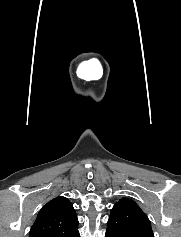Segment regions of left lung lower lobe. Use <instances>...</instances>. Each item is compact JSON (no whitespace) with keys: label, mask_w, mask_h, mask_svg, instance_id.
Wrapping results in <instances>:
<instances>
[{"label":"left lung lower lobe","mask_w":181,"mask_h":237,"mask_svg":"<svg viewBox=\"0 0 181 237\" xmlns=\"http://www.w3.org/2000/svg\"><path fill=\"white\" fill-rule=\"evenodd\" d=\"M105 237H114V236L110 234H106Z\"/></svg>","instance_id":"obj_1"}]
</instances>
